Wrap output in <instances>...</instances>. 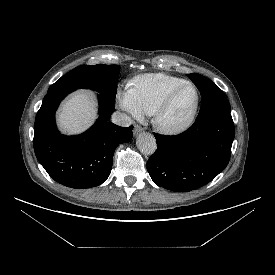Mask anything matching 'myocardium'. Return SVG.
<instances>
[{
  "instance_id": "1",
  "label": "myocardium",
  "mask_w": 275,
  "mask_h": 275,
  "mask_svg": "<svg viewBox=\"0 0 275 275\" xmlns=\"http://www.w3.org/2000/svg\"><path fill=\"white\" fill-rule=\"evenodd\" d=\"M184 87H190L194 91L195 99L192 109L183 121L177 124H167L164 122V115L171 106L176 94ZM199 104L200 96L198 89L191 82L185 81L172 88L161 100V102L157 105L154 112L152 113V123L160 132L164 134L175 135L182 133L194 123L198 114Z\"/></svg>"
}]
</instances>
